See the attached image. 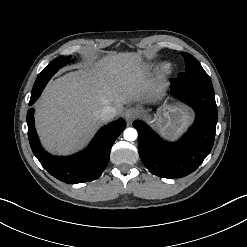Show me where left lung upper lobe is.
<instances>
[{
  "label": "left lung upper lobe",
  "mask_w": 247,
  "mask_h": 247,
  "mask_svg": "<svg viewBox=\"0 0 247 247\" xmlns=\"http://www.w3.org/2000/svg\"><path fill=\"white\" fill-rule=\"evenodd\" d=\"M185 59L186 71L178 75L177 79L184 84L212 85L210 77L196 58L189 53H181Z\"/></svg>",
  "instance_id": "1"
}]
</instances>
